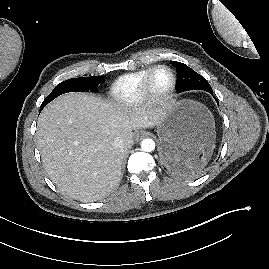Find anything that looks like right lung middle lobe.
Here are the masks:
<instances>
[{"label":"right lung middle lobe","mask_w":269,"mask_h":269,"mask_svg":"<svg viewBox=\"0 0 269 269\" xmlns=\"http://www.w3.org/2000/svg\"><path fill=\"white\" fill-rule=\"evenodd\" d=\"M102 76L80 77L68 79L58 84L53 91L46 97L41 105V110L52 100L61 94L68 92H89L96 91L98 85L104 83Z\"/></svg>","instance_id":"dd1d6c3e"}]
</instances>
